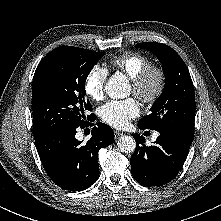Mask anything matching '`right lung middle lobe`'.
Masks as SVG:
<instances>
[{
	"instance_id": "obj_1",
	"label": "right lung middle lobe",
	"mask_w": 221,
	"mask_h": 221,
	"mask_svg": "<svg viewBox=\"0 0 221 221\" xmlns=\"http://www.w3.org/2000/svg\"><path fill=\"white\" fill-rule=\"evenodd\" d=\"M103 55V52L60 46L42 59L33 77L34 136L85 123V112L91 110L85 97V82ZM92 116L87 115V119Z\"/></svg>"
}]
</instances>
